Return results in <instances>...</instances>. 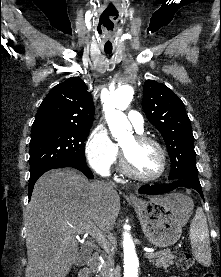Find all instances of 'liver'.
Returning <instances> with one entry per match:
<instances>
[{
    "label": "liver",
    "mask_w": 221,
    "mask_h": 277,
    "mask_svg": "<svg viewBox=\"0 0 221 277\" xmlns=\"http://www.w3.org/2000/svg\"><path fill=\"white\" fill-rule=\"evenodd\" d=\"M163 198L177 204L182 197ZM119 211V195L107 183L90 182L72 168L43 174L27 206L25 277H65L79 254L76 235L88 225L110 232Z\"/></svg>",
    "instance_id": "6515ba94"
}]
</instances>
